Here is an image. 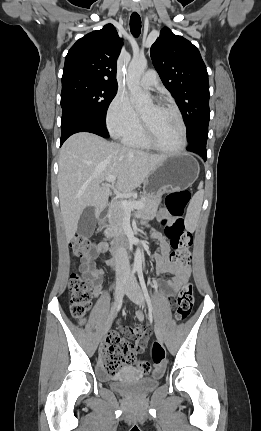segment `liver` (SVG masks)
I'll return each instance as SVG.
<instances>
[{"label":"liver","instance_id":"obj_1","mask_svg":"<svg viewBox=\"0 0 261 431\" xmlns=\"http://www.w3.org/2000/svg\"><path fill=\"white\" fill-rule=\"evenodd\" d=\"M166 156L149 154L109 142L92 133H77L63 144L59 156L58 190L67 242L77 232L83 211L93 207L100 213L107 205L109 175L117 178L115 188L132 192Z\"/></svg>","mask_w":261,"mask_h":431}]
</instances>
